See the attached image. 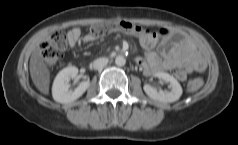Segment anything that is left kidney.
Returning a JSON list of instances; mask_svg holds the SVG:
<instances>
[{
    "mask_svg": "<svg viewBox=\"0 0 238 145\" xmlns=\"http://www.w3.org/2000/svg\"><path fill=\"white\" fill-rule=\"evenodd\" d=\"M154 77L162 79L169 83L170 91H157L149 84H145L143 89L145 93L152 99L163 103H171L177 101L182 95V87L180 83L170 74L165 72H157Z\"/></svg>",
    "mask_w": 238,
    "mask_h": 145,
    "instance_id": "obj_1",
    "label": "left kidney"
}]
</instances>
